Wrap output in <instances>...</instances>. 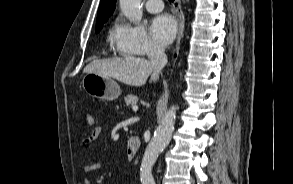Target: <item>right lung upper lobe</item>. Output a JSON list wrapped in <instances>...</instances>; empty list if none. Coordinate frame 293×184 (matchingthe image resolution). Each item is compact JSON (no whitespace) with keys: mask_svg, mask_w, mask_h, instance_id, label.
Returning a JSON list of instances; mask_svg holds the SVG:
<instances>
[{"mask_svg":"<svg viewBox=\"0 0 293 184\" xmlns=\"http://www.w3.org/2000/svg\"><path fill=\"white\" fill-rule=\"evenodd\" d=\"M116 0H101L98 9L96 26L103 25L115 10Z\"/></svg>","mask_w":293,"mask_h":184,"instance_id":"1","label":"right lung upper lobe"}]
</instances>
